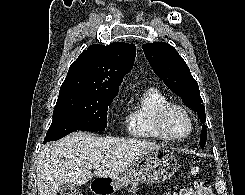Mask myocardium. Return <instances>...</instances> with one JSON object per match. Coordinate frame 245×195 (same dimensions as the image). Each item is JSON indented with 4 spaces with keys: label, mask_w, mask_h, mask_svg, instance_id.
Instances as JSON below:
<instances>
[{
    "label": "myocardium",
    "mask_w": 245,
    "mask_h": 195,
    "mask_svg": "<svg viewBox=\"0 0 245 195\" xmlns=\"http://www.w3.org/2000/svg\"><path fill=\"white\" fill-rule=\"evenodd\" d=\"M174 109L181 111L187 117L188 122H189V131L183 137H174V136L170 135L166 129V125H165L166 117H167L168 113ZM154 125H155V128H156L157 132L159 133V135L164 140H167L170 142L185 141L186 139H188L192 135V133L194 131V119H193L190 111L186 107H184L180 104H177V103H173V102H168V103L162 105L156 111L155 117H154Z\"/></svg>",
    "instance_id": "myocardium-1"
}]
</instances>
